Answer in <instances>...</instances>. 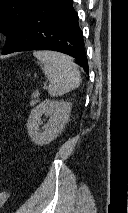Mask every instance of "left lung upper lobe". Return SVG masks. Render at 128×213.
<instances>
[{"mask_svg": "<svg viewBox=\"0 0 128 213\" xmlns=\"http://www.w3.org/2000/svg\"><path fill=\"white\" fill-rule=\"evenodd\" d=\"M37 1L0 0V31L7 36L4 50L10 46Z\"/></svg>", "mask_w": 128, "mask_h": 213, "instance_id": "5c2ea615", "label": "left lung upper lobe"}]
</instances>
